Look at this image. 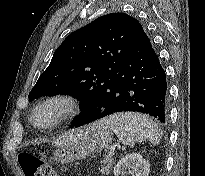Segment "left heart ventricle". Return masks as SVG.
I'll return each mask as SVG.
<instances>
[{
  "label": "left heart ventricle",
  "mask_w": 205,
  "mask_h": 176,
  "mask_svg": "<svg viewBox=\"0 0 205 176\" xmlns=\"http://www.w3.org/2000/svg\"><path fill=\"white\" fill-rule=\"evenodd\" d=\"M52 117V110H42L36 115L35 120L39 124H46L52 119Z\"/></svg>",
  "instance_id": "obj_1"
}]
</instances>
